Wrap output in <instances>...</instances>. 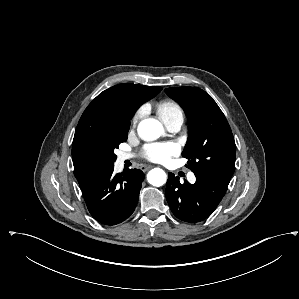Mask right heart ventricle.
Returning a JSON list of instances; mask_svg holds the SVG:
<instances>
[{
    "instance_id": "right-heart-ventricle-1",
    "label": "right heart ventricle",
    "mask_w": 299,
    "mask_h": 299,
    "mask_svg": "<svg viewBox=\"0 0 299 299\" xmlns=\"http://www.w3.org/2000/svg\"><path fill=\"white\" fill-rule=\"evenodd\" d=\"M156 111L164 123L178 117L183 119L182 108L177 102L170 99L158 103L156 105Z\"/></svg>"
}]
</instances>
